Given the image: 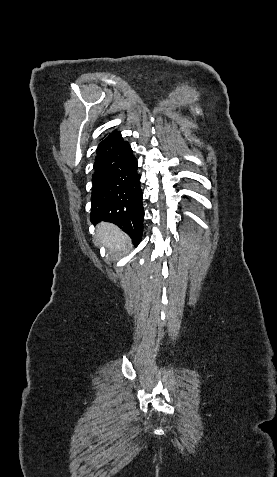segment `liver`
<instances>
[{"label":"liver","mask_w":277,"mask_h":477,"mask_svg":"<svg viewBox=\"0 0 277 477\" xmlns=\"http://www.w3.org/2000/svg\"><path fill=\"white\" fill-rule=\"evenodd\" d=\"M97 241L105 245L111 252H119L130 247L128 236L122 232L117 226L102 222L97 225L96 229Z\"/></svg>","instance_id":"1"}]
</instances>
